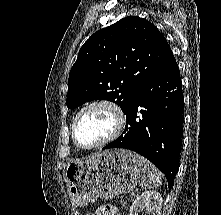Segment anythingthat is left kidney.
<instances>
[{"label":"left kidney","instance_id":"left-kidney-1","mask_svg":"<svg viewBox=\"0 0 221 215\" xmlns=\"http://www.w3.org/2000/svg\"><path fill=\"white\" fill-rule=\"evenodd\" d=\"M161 207V194L156 190H148L136 197L130 207L129 215H138L143 211L147 215H160Z\"/></svg>","mask_w":221,"mask_h":215}]
</instances>
